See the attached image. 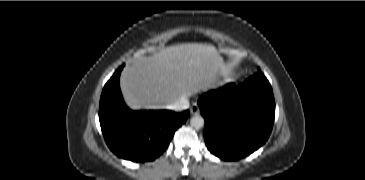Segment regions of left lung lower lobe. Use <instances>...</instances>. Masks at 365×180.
Returning a JSON list of instances; mask_svg holds the SVG:
<instances>
[{"label": "left lung lower lobe", "mask_w": 365, "mask_h": 180, "mask_svg": "<svg viewBox=\"0 0 365 180\" xmlns=\"http://www.w3.org/2000/svg\"><path fill=\"white\" fill-rule=\"evenodd\" d=\"M198 105L205 119L206 145L223 160L246 157L261 147L272 131L275 100L261 72L240 85L230 83L203 94Z\"/></svg>", "instance_id": "left-lung-lower-lobe-1"}]
</instances>
